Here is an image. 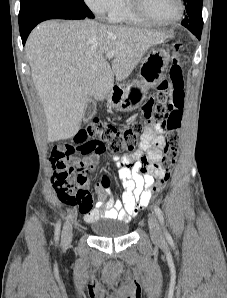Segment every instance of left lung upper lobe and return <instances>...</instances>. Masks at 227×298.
I'll list each match as a JSON object with an SVG mask.
<instances>
[{"instance_id": "left-lung-upper-lobe-1", "label": "left lung upper lobe", "mask_w": 227, "mask_h": 298, "mask_svg": "<svg viewBox=\"0 0 227 298\" xmlns=\"http://www.w3.org/2000/svg\"><path fill=\"white\" fill-rule=\"evenodd\" d=\"M186 7L185 19L182 25L194 35L201 34L203 27L202 3L203 0H183Z\"/></svg>"}]
</instances>
